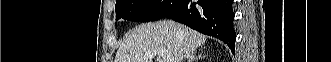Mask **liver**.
<instances>
[{
	"mask_svg": "<svg viewBox=\"0 0 331 62\" xmlns=\"http://www.w3.org/2000/svg\"><path fill=\"white\" fill-rule=\"evenodd\" d=\"M205 42L206 36L174 21L141 24L127 34L114 62H148L140 58L157 48L168 50L174 62H183Z\"/></svg>",
	"mask_w": 331,
	"mask_h": 62,
	"instance_id": "1",
	"label": "liver"
}]
</instances>
